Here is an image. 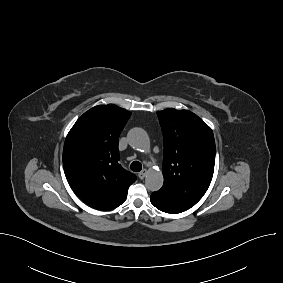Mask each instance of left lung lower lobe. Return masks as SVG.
Here are the masks:
<instances>
[{"mask_svg":"<svg viewBox=\"0 0 283 283\" xmlns=\"http://www.w3.org/2000/svg\"><path fill=\"white\" fill-rule=\"evenodd\" d=\"M151 203L157 209L170 213L177 214L186 211L187 209L180 205L171 195L164 190H159L151 194Z\"/></svg>","mask_w":283,"mask_h":283,"instance_id":"1","label":"left lung lower lobe"}]
</instances>
